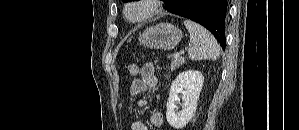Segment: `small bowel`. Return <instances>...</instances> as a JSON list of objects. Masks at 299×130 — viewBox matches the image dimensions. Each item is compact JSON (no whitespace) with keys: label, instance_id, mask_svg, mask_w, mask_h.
Returning a JSON list of instances; mask_svg holds the SVG:
<instances>
[{"label":"small bowel","instance_id":"small-bowel-1","mask_svg":"<svg viewBox=\"0 0 299 130\" xmlns=\"http://www.w3.org/2000/svg\"><path fill=\"white\" fill-rule=\"evenodd\" d=\"M157 77L155 75V66L151 62L145 63L140 70V77L134 80L130 87V94L138 107L146 106L147 102L142 97L146 92L151 91L157 85ZM151 124L155 128L163 125V115L154 112L150 118ZM131 130H149L147 125L141 120H134L131 124Z\"/></svg>","mask_w":299,"mask_h":130}]
</instances>
